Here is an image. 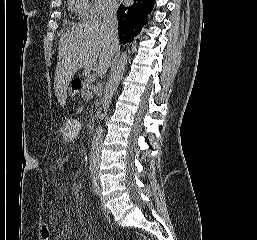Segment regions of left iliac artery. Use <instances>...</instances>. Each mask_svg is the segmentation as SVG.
Segmentation results:
<instances>
[{"label":"left iliac artery","instance_id":"left-iliac-artery-1","mask_svg":"<svg viewBox=\"0 0 257 240\" xmlns=\"http://www.w3.org/2000/svg\"><path fill=\"white\" fill-rule=\"evenodd\" d=\"M93 189H94L96 195H99V184L96 180L93 181Z\"/></svg>","mask_w":257,"mask_h":240}]
</instances>
